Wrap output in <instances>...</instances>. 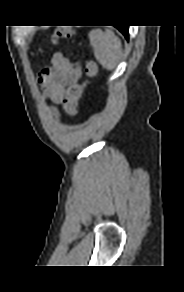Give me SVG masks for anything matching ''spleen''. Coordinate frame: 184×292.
I'll list each match as a JSON object with an SVG mask.
<instances>
[{"label": "spleen", "mask_w": 184, "mask_h": 292, "mask_svg": "<svg viewBox=\"0 0 184 292\" xmlns=\"http://www.w3.org/2000/svg\"><path fill=\"white\" fill-rule=\"evenodd\" d=\"M90 44L96 60L107 70H113L122 53L120 39L110 30H93L89 33Z\"/></svg>", "instance_id": "3e777b00"}]
</instances>
